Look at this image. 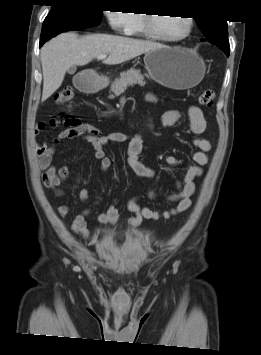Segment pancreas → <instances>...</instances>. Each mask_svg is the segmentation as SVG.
I'll list each match as a JSON object with an SVG mask.
<instances>
[{"mask_svg": "<svg viewBox=\"0 0 261 355\" xmlns=\"http://www.w3.org/2000/svg\"><path fill=\"white\" fill-rule=\"evenodd\" d=\"M135 84L144 86L146 82L144 81V76L141 74L140 70L130 69L122 72L120 77L115 79L111 85L110 91L118 96L124 93L127 87Z\"/></svg>", "mask_w": 261, "mask_h": 355, "instance_id": "pancreas-1", "label": "pancreas"}]
</instances>
